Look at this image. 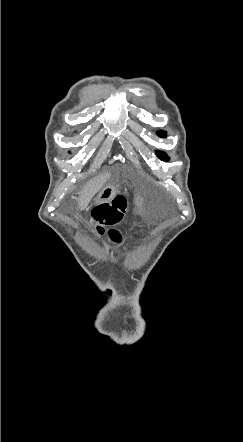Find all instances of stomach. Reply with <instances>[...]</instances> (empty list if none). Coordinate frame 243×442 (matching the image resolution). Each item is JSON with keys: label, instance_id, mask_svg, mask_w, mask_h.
I'll return each instance as SVG.
<instances>
[{"label": "stomach", "instance_id": "obj_1", "mask_svg": "<svg viewBox=\"0 0 243 442\" xmlns=\"http://www.w3.org/2000/svg\"><path fill=\"white\" fill-rule=\"evenodd\" d=\"M117 193L115 186L107 185L101 189L96 198V203H103L105 201H110Z\"/></svg>", "mask_w": 243, "mask_h": 442}]
</instances>
